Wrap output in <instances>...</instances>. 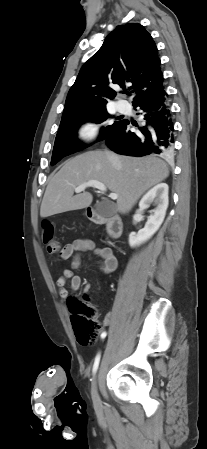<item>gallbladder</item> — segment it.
<instances>
[{"label":"gallbladder","mask_w":207,"mask_h":449,"mask_svg":"<svg viewBox=\"0 0 207 449\" xmlns=\"http://www.w3.org/2000/svg\"><path fill=\"white\" fill-rule=\"evenodd\" d=\"M96 210L99 214L107 217L112 216L115 212L114 206L106 202L97 203Z\"/></svg>","instance_id":"bac80fb5"}]
</instances>
